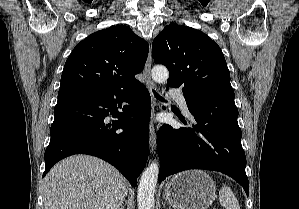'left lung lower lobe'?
Returning a JSON list of instances; mask_svg holds the SVG:
<instances>
[{
  "mask_svg": "<svg viewBox=\"0 0 299 209\" xmlns=\"http://www.w3.org/2000/svg\"><path fill=\"white\" fill-rule=\"evenodd\" d=\"M184 97L195 124L192 128L179 129L163 125L158 131L157 148L162 165L158 180L188 169L214 170L235 179L248 196L246 157L234 98Z\"/></svg>",
  "mask_w": 299,
  "mask_h": 209,
  "instance_id": "1",
  "label": "left lung lower lobe"
}]
</instances>
